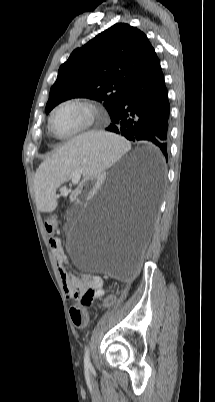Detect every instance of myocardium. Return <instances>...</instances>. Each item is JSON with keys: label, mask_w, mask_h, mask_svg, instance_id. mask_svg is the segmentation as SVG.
<instances>
[{"label": "myocardium", "mask_w": 215, "mask_h": 402, "mask_svg": "<svg viewBox=\"0 0 215 402\" xmlns=\"http://www.w3.org/2000/svg\"><path fill=\"white\" fill-rule=\"evenodd\" d=\"M65 106L80 107L86 111L87 117L83 126L80 127L78 130L69 134L60 135L55 132L52 125V121L55 113ZM100 114H101L100 108L93 101L82 98H69L61 101L51 110L48 117V129L51 132V134L58 139L61 140L73 139L90 131L95 126Z\"/></svg>", "instance_id": "myocardium-1"}]
</instances>
